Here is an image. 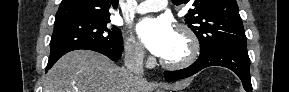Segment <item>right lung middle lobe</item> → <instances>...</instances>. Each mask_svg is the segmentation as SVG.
Masks as SVG:
<instances>
[{"mask_svg": "<svg viewBox=\"0 0 289 92\" xmlns=\"http://www.w3.org/2000/svg\"><path fill=\"white\" fill-rule=\"evenodd\" d=\"M109 22V18L92 17L55 21L50 57L84 45L120 46L123 42L121 31L115 26L111 27Z\"/></svg>", "mask_w": 289, "mask_h": 92, "instance_id": "1", "label": "right lung middle lobe"}]
</instances>
